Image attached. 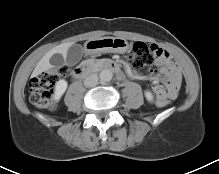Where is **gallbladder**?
Here are the masks:
<instances>
[{"label": "gallbladder", "mask_w": 219, "mask_h": 174, "mask_svg": "<svg viewBox=\"0 0 219 174\" xmlns=\"http://www.w3.org/2000/svg\"><path fill=\"white\" fill-rule=\"evenodd\" d=\"M83 56V48L80 44L72 45L67 51L66 62L68 65L77 64Z\"/></svg>", "instance_id": "obj_1"}]
</instances>
